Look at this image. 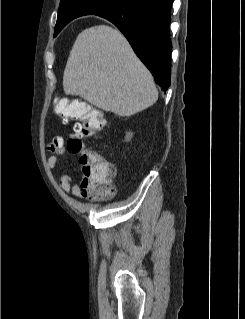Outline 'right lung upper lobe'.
I'll use <instances>...</instances> for the list:
<instances>
[{
  "mask_svg": "<svg viewBox=\"0 0 245 319\" xmlns=\"http://www.w3.org/2000/svg\"><path fill=\"white\" fill-rule=\"evenodd\" d=\"M83 0H61L60 3L64 4V8L58 12V18L56 27L63 28L71 20L89 14V11H85L80 2Z\"/></svg>",
  "mask_w": 245,
  "mask_h": 319,
  "instance_id": "cb5924a9",
  "label": "right lung upper lobe"
}]
</instances>
